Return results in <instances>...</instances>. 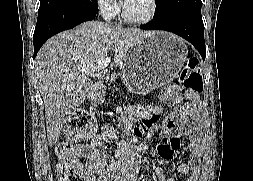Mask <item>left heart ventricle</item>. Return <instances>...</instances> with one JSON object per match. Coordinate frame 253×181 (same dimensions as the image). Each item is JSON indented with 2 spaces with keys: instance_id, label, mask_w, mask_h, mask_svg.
I'll return each instance as SVG.
<instances>
[{
  "instance_id": "1",
  "label": "left heart ventricle",
  "mask_w": 253,
  "mask_h": 181,
  "mask_svg": "<svg viewBox=\"0 0 253 181\" xmlns=\"http://www.w3.org/2000/svg\"><path fill=\"white\" fill-rule=\"evenodd\" d=\"M126 12L132 17H145L151 8L150 0H129L124 6Z\"/></svg>"
}]
</instances>
